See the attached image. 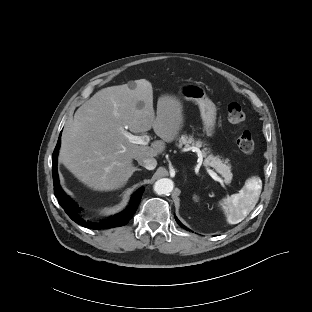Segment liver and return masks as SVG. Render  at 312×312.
Segmentation results:
<instances>
[{
	"instance_id": "6515ba94",
	"label": "liver",
	"mask_w": 312,
	"mask_h": 312,
	"mask_svg": "<svg viewBox=\"0 0 312 312\" xmlns=\"http://www.w3.org/2000/svg\"><path fill=\"white\" fill-rule=\"evenodd\" d=\"M156 114L148 80H136L133 88H104L80 106L64 128L60 160L94 190L120 188L134 172L133 159L157 157L183 126V106L174 96H160ZM151 128L162 139L151 146L130 143L124 136L125 129L143 133Z\"/></svg>"
}]
</instances>
